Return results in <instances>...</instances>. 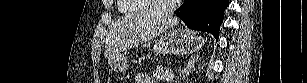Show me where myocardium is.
Segmentation results:
<instances>
[{
  "label": "myocardium",
  "mask_w": 307,
  "mask_h": 83,
  "mask_svg": "<svg viewBox=\"0 0 307 83\" xmlns=\"http://www.w3.org/2000/svg\"><path fill=\"white\" fill-rule=\"evenodd\" d=\"M146 2L154 8L155 12L160 15H167L170 14L176 7L178 0H172V2L168 3L164 7L158 6L157 0H146Z\"/></svg>",
  "instance_id": "myocardium-1"
}]
</instances>
